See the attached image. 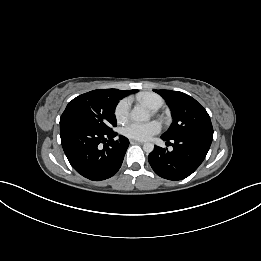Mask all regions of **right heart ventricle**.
I'll list each match as a JSON object with an SVG mask.
<instances>
[{"label":"right heart ventricle","instance_id":"right-heart-ventricle-1","mask_svg":"<svg viewBox=\"0 0 261 261\" xmlns=\"http://www.w3.org/2000/svg\"><path fill=\"white\" fill-rule=\"evenodd\" d=\"M140 101L150 109H155L162 105V99L154 93H145L140 96Z\"/></svg>","mask_w":261,"mask_h":261}]
</instances>
